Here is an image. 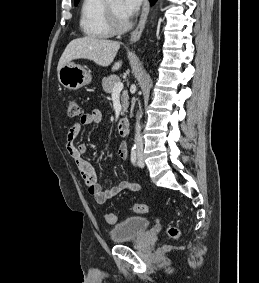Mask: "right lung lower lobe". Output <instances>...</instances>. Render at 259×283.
<instances>
[{"label": "right lung lower lobe", "mask_w": 259, "mask_h": 283, "mask_svg": "<svg viewBox=\"0 0 259 283\" xmlns=\"http://www.w3.org/2000/svg\"><path fill=\"white\" fill-rule=\"evenodd\" d=\"M151 1V3H154L156 0H150Z\"/></svg>", "instance_id": "obj_1"}]
</instances>
